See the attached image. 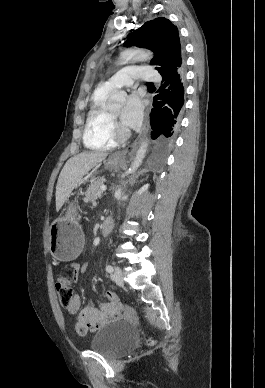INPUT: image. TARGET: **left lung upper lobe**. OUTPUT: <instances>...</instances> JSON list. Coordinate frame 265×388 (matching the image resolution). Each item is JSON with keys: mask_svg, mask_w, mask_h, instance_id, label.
<instances>
[{"mask_svg": "<svg viewBox=\"0 0 265 388\" xmlns=\"http://www.w3.org/2000/svg\"><path fill=\"white\" fill-rule=\"evenodd\" d=\"M126 46H138L153 51L151 64L160 75L184 66L178 28L166 18L159 17L146 22L128 36Z\"/></svg>", "mask_w": 265, "mask_h": 388, "instance_id": "left-lung-upper-lobe-1", "label": "left lung upper lobe"}]
</instances>
